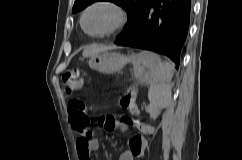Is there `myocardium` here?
I'll list each match as a JSON object with an SVG mask.
<instances>
[{"label": "myocardium", "mask_w": 242, "mask_h": 160, "mask_svg": "<svg viewBox=\"0 0 242 160\" xmlns=\"http://www.w3.org/2000/svg\"><path fill=\"white\" fill-rule=\"evenodd\" d=\"M99 6H106V7L112 8L117 13V21L113 26H111L106 31H103L101 33H91L85 27V17L91 9H93L95 7H99ZM127 20H128V13H127L126 9L117 1H115V0H95L92 3H90L88 6H86L85 9L82 11V14L80 17V25H81V28L83 29V31L87 35L94 37V38H104V37L110 36V35L118 32L119 30H121L127 23Z\"/></svg>", "instance_id": "1"}]
</instances>
